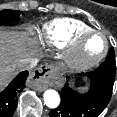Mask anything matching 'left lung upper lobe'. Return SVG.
<instances>
[{
    "mask_svg": "<svg viewBox=\"0 0 117 117\" xmlns=\"http://www.w3.org/2000/svg\"><path fill=\"white\" fill-rule=\"evenodd\" d=\"M102 67L108 69L109 71H114L116 69V62H115V53L114 49L111 48L108 52V55L105 61L101 64Z\"/></svg>",
    "mask_w": 117,
    "mask_h": 117,
    "instance_id": "left-lung-upper-lobe-1",
    "label": "left lung upper lobe"
}]
</instances>
